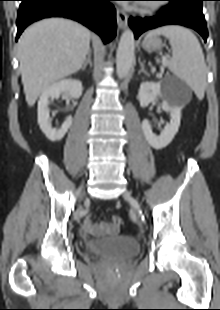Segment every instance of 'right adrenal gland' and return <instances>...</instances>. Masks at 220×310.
Listing matches in <instances>:
<instances>
[{
  "label": "right adrenal gland",
  "instance_id": "2a0ac1e0",
  "mask_svg": "<svg viewBox=\"0 0 220 310\" xmlns=\"http://www.w3.org/2000/svg\"><path fill=\"white\" fill-rule=\"evenodd\" d=\"M90 65L92 66V62H91V50L88 51V54H87V58L85 59L83 65H82V70H85L87 65Z\"/></svg>",
  "mask_w": 220,
  "mask_h": 310
}]
</instances>
